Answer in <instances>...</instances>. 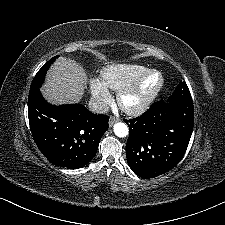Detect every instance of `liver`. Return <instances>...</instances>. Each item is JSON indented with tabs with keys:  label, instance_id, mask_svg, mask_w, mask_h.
<instances>
[{
	"label": "liver",
	"instance_id": "obj_1",
	"mask_svg": "<svg viewBox=\"0 0 225 225\" xmlns=\"http://www.w3.org/2000/svg\"><path fill=\"white\" fill-rule=\"evenodd\" d=\"M86 80L87 75L79 64L61 57L49 70L42 93L51 103H78L84 94Z\"/></svg>",
	"mask_w": 225,
	"mask_h": 225
}]
</instances>
